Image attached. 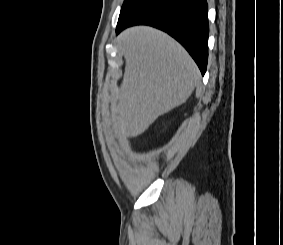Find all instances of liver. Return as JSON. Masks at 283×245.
<instances>
[{"instance_id": "obj_1", "label": "liver", "mask_w": 283, "mask_h": 245, "mask_svg": "<svg viewBox=\"0 0 283 245\" xmlns=\"http://www.w3.org/2000/svg\"><path fill=\"white\" fill-rule=\"evenodd\" d=\"M120 42L126 65L113 118L123 136L136 137L187 101L200 71L178 42L152 27L126 29Z\"/></svg>"}]
</instances>
